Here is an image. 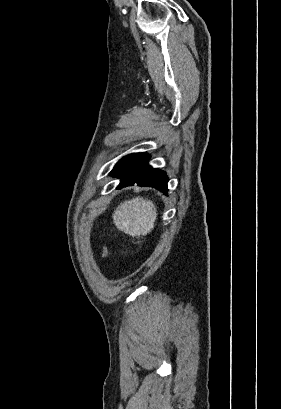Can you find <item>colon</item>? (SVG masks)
<instances>
[{
	"label": "colon",
	"mask_w": 281,
	"mask_h": 409,
	"mask_svg": "<svg viewBox=\"0 0 281 409\" xmlns=\"http://www.w3.org/2000/svg\"><path fill=\"white\" fill-rule=\"evenodd\" d=\"M105 254H106V247H105V246H103V248H102V256L104 257V256H105Z\"/></svg>",
	"instance_id": "5ec220e1"
}]
</instances>
